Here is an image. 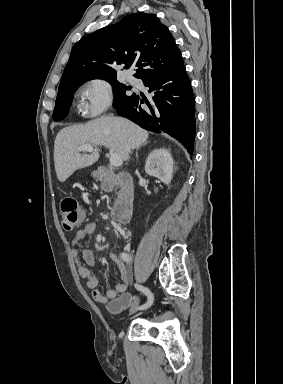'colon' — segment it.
<instances>
[{"instance_id": "1", "label": "colon", "mask_w": 283, "mask_h": 384, "mask_svg": "<svg viewBox=\"0 0 283 384\" xmlns=\"http://www.w3.org/2000/svg\"><path fill=\"white\" fill-rule=\"evenodd\" d=\"M61 221L65 230L71 231L82 224L83 214L77 201L72 197L64 198L60 203ZM133 301L130 293H123L108 304L111 313H119L127 309Z\"/></svg>"}]
</instances>
